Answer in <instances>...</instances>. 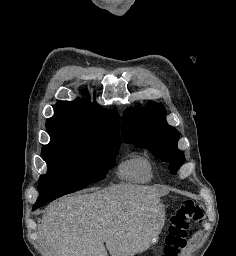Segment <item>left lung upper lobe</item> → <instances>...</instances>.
Returning <instances> with one entry per match:
<instances>
[{
  "label": "left lung upper lobe",
  "mask_w": 236,
  "mask_h": 256,
  "mask_svg": "<svg viewBox=\"0 0 236 256\" xmlns=\"http://www.w3.org/2000/svg\"><path fill=\"white\" fill-rule=\"evenodd\" d=\"M165 115L162 104H146L141 111L127 110L122 119V137L125 143L146 148L157 158L169 162L171 173L176 174L185 158L177 148L179 133L167 124Z\"/></svg>",
  "instance_id": "obj_1"
}]
</instances>
